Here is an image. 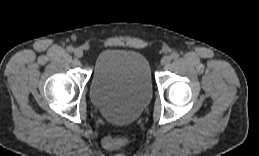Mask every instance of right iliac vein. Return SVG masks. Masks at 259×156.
I'll return each mask as SVG.
<instances>
[{
    "label": "right iliac vein",
    "instance_id": "1",
    "mask_svg": "<svg viewBox=\"0 0 259 156\" xmlns=\"http://www.w3.org/2000/svg\"><path fill=\"white\" fill-rule=\"evenodd\" d=\"M74 55L77 58H81V57H83V51L80 48H77V49L74 50Z\"/></svg>",
    "mask_w": 259,
    "mask_h": 156
}]
</instances>
